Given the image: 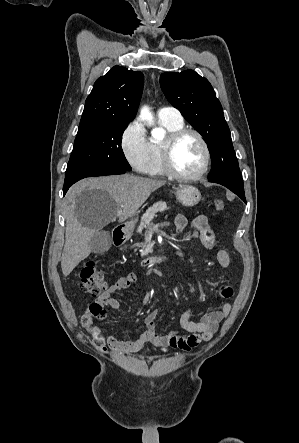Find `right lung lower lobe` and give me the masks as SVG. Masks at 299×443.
<instances>
[{"label": "right lung lower lobe", "instance_id": "right-lung-lower-lobe-1", "mask_svg": "<svg viewBox=\"0 0 299 443\" xmlns=\"http://www.w3.org/2000/svg\"><path fill=\"white\" fill-rule=\"evenodd\" d=\"M127 170H110L103 172L97 176H104V175H118V174H124ZM71 185H64L63 187V195L66 194L67 190L69 189Z\"/></svg>", "mask_w": 299, "mask_h": 443}]
</instances>
